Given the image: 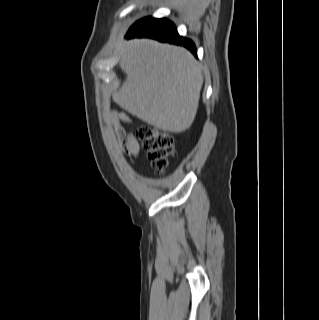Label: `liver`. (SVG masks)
Masks as SVG:
<instances>
[{
    "instance_id": "liver-1",
    "label": "liver",
    "mask_w": 319,
    "mask_h": 320,
    "mask_svg": "<svg viewBox=\"0 0 319 320\" xmlns=\"http://www.w3.org/2000/svg\"><path fill=\"white\" fill-rule=\"evenodd\" d=\"M119 58L126 80L112 96L122 109L162 131L181 133L191 127L203 75L189 51L133 39L121 44Z\"/></svg>"
}]
</instances>
